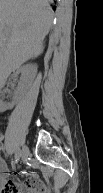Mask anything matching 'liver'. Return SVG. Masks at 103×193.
<instances>
[{"instance_id":"liver-1","label":"liver","mask_w":103,"mask_h":193,"mask_svg":"<svg viewBox=\"0 0 103 193\" xmlns=\"http://www.w3.org/2000/svg\"><path fill=\"white\" fill-rule=\"evenodd\" d=\"M49 0H0V77L43 53L52 25Z\"/></svg>"}]
</instances>
